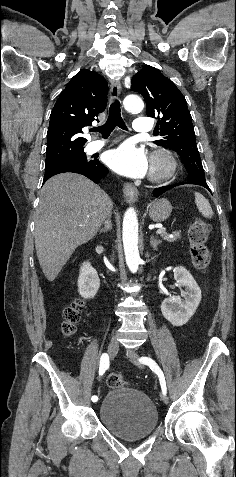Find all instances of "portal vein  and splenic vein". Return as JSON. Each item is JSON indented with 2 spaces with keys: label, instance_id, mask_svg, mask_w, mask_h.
I'll list each match as a JSON object with an SVG mask.
<instances>
[{
  "label": "portal vein and splenic vein",
  "instance_id": "obj_1",
  "mask_svg": "<svg viewBox=\"0 0 236 477\" xmlns=\"http://www.w3.org/2000/svg\"><path fill=\"white\" fill-rule=\"evenodd\" d=\"M163 233H166V228H160L156 231V234H163Z\"/></svg>",
  "mask_w": 236,
  "mask_h": 477
}]
</instances>
